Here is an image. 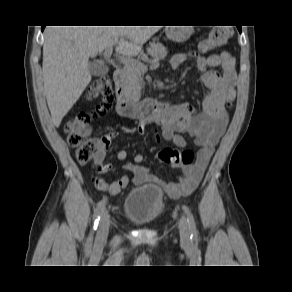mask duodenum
<instances>
[{
    "label": "duodenum",
    "instance_id": "410a0bca",
    "mask_svg": "<svg viewBox=\"0 0 292 292\" xmlns=\"http://www.w3.org/2000/svg\"><path fill=\"white\" fill-rule=\"evenodd\" d=\"M124 71L122 68L115 69L113 79L115 82V93L117 97V111L124 117H134L142 121H151L161 114L165 102L158 99L133 100L128 98L123 89Z\"/></svg>",
    "mask_w": 292,
    "mask_h": 292
}]
</instances>
